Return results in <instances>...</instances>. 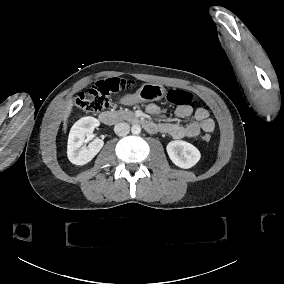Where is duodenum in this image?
<instances>
[{
  "label": "duodenum",
  "mask_w": 284,
  "mask_h": 284,
  "mask_svg": "<svg viewBox=\"0 0 284 284\" xmlns=\"http://www.w3.org/2000/svg\"><path fill=\"white\" fill-rule=\"evenodd\" d=\"M98 119L101 123H103L105 125H114L117 121L116 115L113 112H110V111L101 112L98 115ZM133 120L135 121L136 124L141 125L144 128L147 125V122L142 120L140 117H134Z\"/></svg>",
  "instance_id": "obj_1"
}]
</instances>
